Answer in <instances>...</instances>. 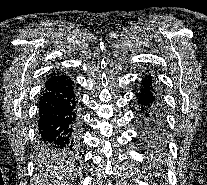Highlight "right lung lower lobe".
Instances as JSON below:
<instances>
[{
  "label": "right lung lower lobe",
  "mask_w": 207,
  "mask_h": 185,
  "mask_svg": "<svg viewBox=\"0 0 207 185\" xmlns=\"http://www.w3.org/2000/svg\"><path fill=\"white\" fill-rule=\"evenodd\" d=\"M78 107L71 79L66 75L50 77L40 95L39 143L72 150L79 134Z\"/></svg>",
  "instance_id": "1"
}]
</instances>
